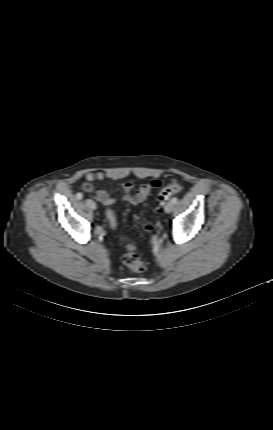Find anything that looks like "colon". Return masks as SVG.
I'll list each match as a JSON object with an SVG mask.
<instances>
[{
    "label": "colon",
    "instance_id": "colon-1",
    "mask_svg": "<svg viewBox=\"0 0 273 430\" xmlns=\"http://www.w3.org/2000/svg\"><path fill=\"white\" fill-rule=\"evenodd\" d=\"M180 188L181 187L177 182H173L172 184L164 187L156 195L155 202L158 205L164 204V202L166 200H168L169 198H171L172 196L177 194L180 191ZM85 189L90 190L91 185L86 184ZM106 215H107V218L109 220L111 227L116 229L117 228V222H116V217H115L114 212L111 209H109V210H107ZM146 230L151 231L152 228L150 226H147ZM123 261L130 269H132L134 271L140 272V271H143L145 269V265H144L143 261L141 260V258L139 257L137 251H136V246L132 243L127 244L126 252L123 255Z\"/></svg>",
    "mask_w": 273,
    "mask_h": 430
}]
</instances>
